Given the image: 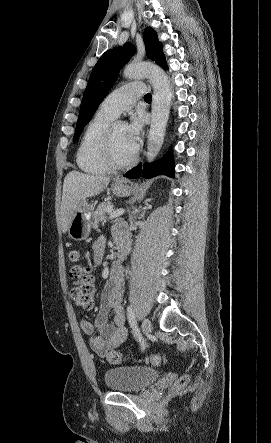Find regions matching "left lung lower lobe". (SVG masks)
<instances>
[{
  "instance_id": "1",
  "label": "left lung lower lobe",
  "mask_w": 271,
  "mask_h": 443,
  "mask_svg": "<svg viewBox=\"0 0 271 443\" xmlns=\"http://www.w3.org/2000/svg\"><path fill=\"white\" fill-rule=\"evenodd\" d=\"M156 63L163 68L167 69L165 56H161ZM142 176L144 178H152L157 175H167L169 177H174V163L171 152H169L162 160L157 163L145 164L142 169V164L140 163L135 168L125 173V177L135 179Z\"/></svg>"
}]
</instances>
